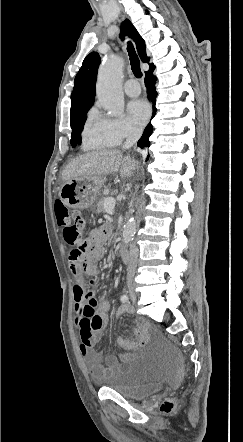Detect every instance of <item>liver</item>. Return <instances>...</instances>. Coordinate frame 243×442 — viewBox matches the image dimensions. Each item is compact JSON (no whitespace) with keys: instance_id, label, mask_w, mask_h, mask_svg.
Here are the masks:
<instances>
[{"instance_id":"liver-1","label":"liver","mask_w":243,"mask_h":442,"mask_svg":"<svg viewBox=\"0 0 243 442\" xmlns=\"http://www.w3.org/2000/svg\"><path fill=\"white\" fill-rule=\"evenodd\" d=\"M130 156H123L116 149H102L80 155L73 159L62 173L63 181L83 176H103L119 171L121 177H130L137 167Z\"/></svg>"}]
</instances>
